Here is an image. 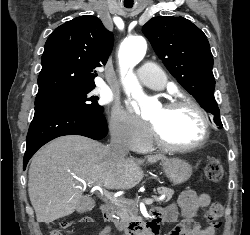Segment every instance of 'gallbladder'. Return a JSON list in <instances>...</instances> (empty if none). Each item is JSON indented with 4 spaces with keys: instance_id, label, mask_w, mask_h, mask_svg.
Instances as JSON below:
<instances>
[{
    "instance_id": "gallbladder-1",
    "label": "gallbladder",
    "mask_w": 250,
    "mask_h": 235,
    "mask_svg": "<svg viewBox=\"0 0 250 235\" xmlns=\"http://www.w3.org/2000/svg\"><path fill=\"white\" fill-rule=\"evenodd\" d=\"M92 208L91 202L89 199L87 198H83L79 201L78 205H77V211L79 213H84L89 211Z\"/></svg>"
}]
</instances>
